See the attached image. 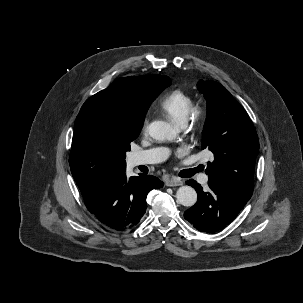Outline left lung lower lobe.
<instances>
[{
	"label": "left lung lower lobe",
	"instance_id": "left-lung-lower-lobe-1",
	"mask_svg": "<svg viewBox=\"0 0 303 303\" xmlns=\"http://www.w3.org/2000/svg\"><path fill=\"white\" fill-rule=\"evenodd\" d=\"M186 183L195 188L198 200L185 211L184 217L201 232H216L228 225L251 198L214 177H209L208 192L192 179Z\"/></svg>",
	"mask_w": 303,
	"mask_h": 303
}]
</instances>
